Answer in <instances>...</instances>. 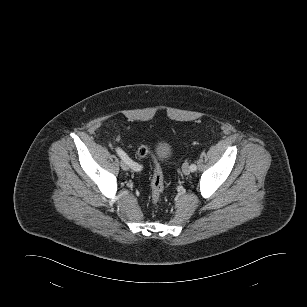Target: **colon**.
<instances>
[{
  "mask_svg": "<svg viewBox=\"0 0 307 307\" xmlns=\"http://www.w3.org/2000/svg\"><path fill=\"white\" fill-rule=\"evenodd\" d=\"M137 155L140 158L150 157L151 149L148 146L143 145L139 147ZM163 190H164L163 173L159 164L155 162L154 172L151 179V198L153 203L157 204L160 201Z\"/></svg>",
  "mask_w": 307,
  "mask_h": 307,
  "instance_id": "colon-1",
  "label": "colon"
}]
</instances>
